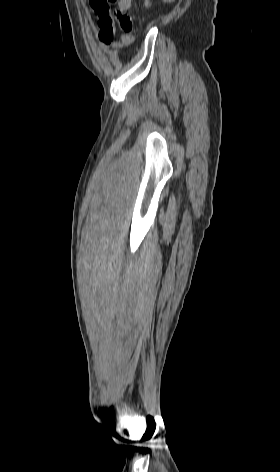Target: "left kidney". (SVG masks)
<instances>
[{
	"label": "left kidney",
	"mask_w": 280,
	"mask_h": 472,
	"mask_svg": "<svg viewBox=\"0 0 280 472\" xmlns=\"http://www.w3.org/2000/svg\"><path fill=\"white\" fill-rule=\"evenodd\" d=\"M147 4H148V0H146V2H145V5H147Z\"/></svg>",
	"instance_id": "1"
}]
</instances>
